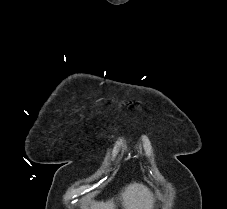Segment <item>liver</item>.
<instances>
[{
	"mask_svg": "<svg viewBox=\"0 0 227 209\" xmlns=\"http://www.w3.org/2000/svg\"><path fill=\"white\" fill-rule=\"evenodd\" d=\"M113 201L114 199L107 201V203H94L92 209H115L116 205ZM122 201L124 209H151L153 207V195L146 187L138 185V183L125 187Z\"/></svg>",
	"mask_w": 227,
	"mask_h": 209,
	"instance_id": "6515ba94",
	"label": "liver"
}]
</instances>
